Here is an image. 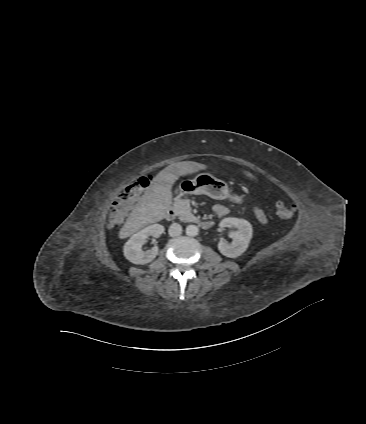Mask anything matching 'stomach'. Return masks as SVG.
<instances>
[{
    "label": "stomach",
    "mask_w": 366,
    "mask_h": 424,
    "mask_svg": "<svg viewBox=\"0 0 366 424\" xmlns=\"http://www.w3.org/2000/svg\"><path fill=\"white\" fill-rule=\"evenodd\" d=\"M183 185L191 186L190 193L195 195H207L216 200L230 199L231 201H239L235 196H231L227 184L215 178L209 173L198 174L193 180H185ZM183 192H186L182 189Z\"/></svg>",
    "instance_id": "obj_1"
}]
</instances>
